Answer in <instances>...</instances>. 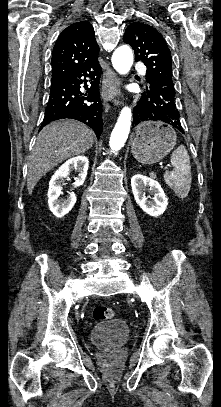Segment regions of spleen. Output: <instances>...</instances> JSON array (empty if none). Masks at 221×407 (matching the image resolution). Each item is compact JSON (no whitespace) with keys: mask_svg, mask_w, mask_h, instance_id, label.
<instances>
[{"mask_svg":"<svg viewBox=\"0 0 221 407\" xmlns=\"http://www.w3.org/2000/svg\"><path fill=\"white\" fill-rule=\"evenodd\" d=\"M171 164L174 167L173 172L164 173L166 184L183 199L186 198L191 187V166L186 148L179 145L171 156Z\"/></svg>","mask_w":221,"mask_h":407,"instance_id":"1","label":"spleen"}]
</instances>
